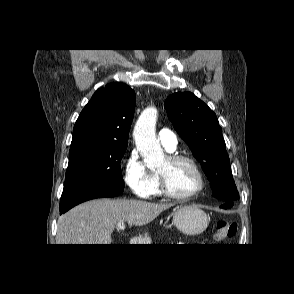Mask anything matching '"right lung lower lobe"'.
<instances>
[{
	"label": "right lung lower lobe",
	"mask_w": 294,
	"mask_h": 294,
	"mask_svg": "<svg viewBox=\"0 0 294 294\" xmlns=\"http://www.w3.org/2000/svg\"><path fill=\"white\" fill-rule=\"evenodd\" d=\"M123 190V187L119 186H91L76 189L71 193L61 196L60 214L65 213L72 207L90 199L115 197L120 195Z\"/></svg>",
	"instance_id": "1"
}]
</instances>
